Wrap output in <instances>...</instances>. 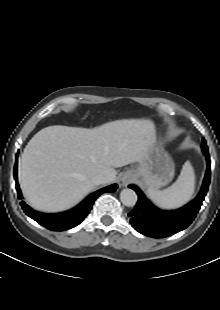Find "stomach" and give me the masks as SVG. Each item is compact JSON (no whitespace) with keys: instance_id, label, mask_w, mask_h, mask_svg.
I'll use <instances>...</instances> for the list:
<instances>
[{"instance_id":"0dacf381","label":"stomach","mask_w":220,"mask_h":310,"mask_svg":"<svg viewBox=\"0 0 220 310\" xmlns=\"http://www.w3.org/2000/svg\"><path fill=\"white\" fill-rule=\"evenodd\" d=\"M135 179H141L149 188H161L171 182L174 164L167 152L154 143L146 156L139 161L136 169L130 171Z\"/></svg>"}]
</instances>
